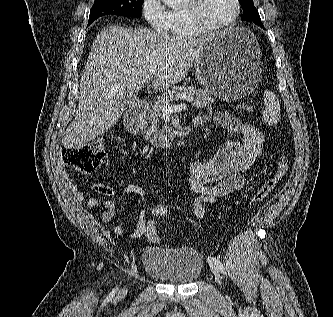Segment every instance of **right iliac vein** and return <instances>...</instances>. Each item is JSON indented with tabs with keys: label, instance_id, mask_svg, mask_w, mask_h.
I'll list each match as a JSON object with an SVG mask.
<instances>
[{
	"label": "right iliac vein",
	"instance_id": "right-iliac-vein-1",
	"mask_svg": "<svg viewBox=\"0 0 333 317\" xmlns=\"http://www.w3.org/2000/svg\"><path fill=\"white\" fill-rule=\"evenodd\" d=\"M125 294H126V290L123 289V290L120 292V295L123 296V295H125Z\"/></svg>",
	"mask_w": 333,
	"mask_h": 317
}]
</instances>
